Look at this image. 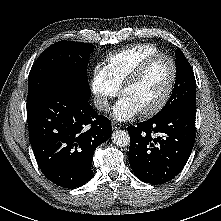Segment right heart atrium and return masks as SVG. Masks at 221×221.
<instances>
[{"mask_svg":"<svg viewBox=\"0 0 221 221\" xmlns=\"http://www.w3.org/2000/svg\"><path fill=\"white\" fill-rule=\"evenodd\" d=\"M90 88L94 95V104L101 111L108 108L110 100L116 96L119 89L107 68L100 64L95 65L92 69Z\"/></svg>","mask_w":221,"mask_h":221,"instance_id":"obj_1","label":"right heart atrium"}]
</instances>
